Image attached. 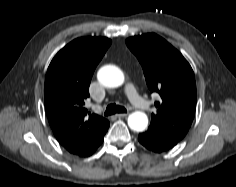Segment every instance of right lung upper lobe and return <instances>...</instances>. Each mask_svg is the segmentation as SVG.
<instances>
[{
  "mask_svg": "<svg viewBox=\"0 0 236 187\" xmlns=\"http://www.w3.org/2000/svg\"><path fill=\"white\" fill-rule=\"evenodd\" d=\"M111 44L105 37L77 38L51 61L44 86L47 117L59 143L70 153L90 156L103 142L109 122L84 107L93 72Z\"/></svg>",
  "mask_w": 236,
  "mask_h": 187,
  "instance_id": "cb5924a9",
  "label": "right lung upper lobe"
}]
</instances>
